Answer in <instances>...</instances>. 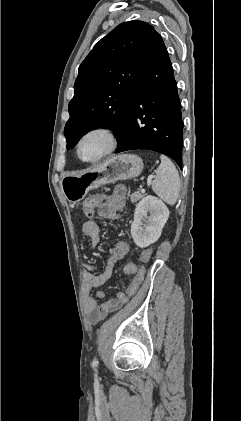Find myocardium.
Segmentation results:
<instances>
[{"instance_id":"f54148a6","label":"myocardium","mask_w":241,"mask_h":421,"mask_svg":"<svg viewBox=\"0 0 241 421\" xmlns=\"http://www.w3.org/2000/svg\"><path fill=\"white\" fill-rule=\"evenodd\" d=\"M91 135L103 136L106 140V145L103 151L100 154H98L96 157L84 158L80 152L81 144L87 137ZM117 145H118V136H117L116 131L112 127L104 126V125L94 126L86 130L78 139L77 144H76V154L78 158L82 160L83 162L96 163L102 160L104 157H106L110 153H112L116 149Z\"/></svg>"}]
</instances>
